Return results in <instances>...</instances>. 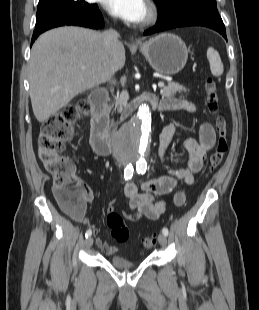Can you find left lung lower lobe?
I'll return each mask as SVG.
<instances>
[{
    "instance_id": "0a47b994",
    "label": "left lung lower lobe",
    "mask_w": 259,
    "mask_h": 310,
    "mask_svg": "<svg viewBox=\"0 0 259 310\" xmlns=\"http://www.w3.org/2000/svg\"><path fill=\"white\" fill-rule=\"evenodd\" d=\"M183 26H204L219 32L226 40V30L219 14L196 12L185 15L181 18L171 20L162 24H156L154 27L146 30L144 35H150L156 32Z\"/></svg>"
}]
</instances>
